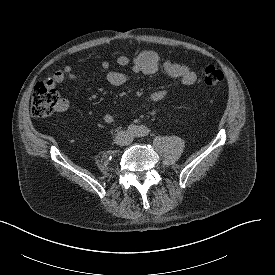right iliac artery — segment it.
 Here are the masks:
<instances>
[{"label":"right iliac artery","mask_w":275,"mask_h":275,"mask_svg":"<svg viewBox=\"0 0 275 275\" xmlns=\"http://www.w3.org/2000/svg\"><path fill=\"white\" fill-rule=\"evenodd\" d=\"M138 127L136 125H130L129 131L133 134H137Z\"/></svg>","instance_id":"right-iliac-artery-1"}]
</instances>
